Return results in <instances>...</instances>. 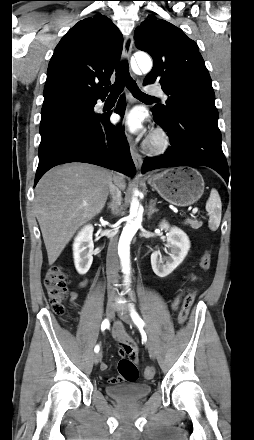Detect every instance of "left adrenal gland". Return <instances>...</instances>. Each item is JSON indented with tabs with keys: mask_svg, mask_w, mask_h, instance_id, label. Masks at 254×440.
<instances>
[{
	"mask_svg": "<svg viewBox=\"0 0 254 440\" xmlns=\"http://www.w3.org/2000/svg\"><path fill=\"white\" fill-rule=\"evenodd\" d=\"M156 200H157V199L152 200L151 203H150V205H149L148 214H147L148 219H150L151 216H152L155 212L158 211V209L155 207V205H156Z\"/></svg>",
	"mask_w": 254,
	"mask_h": 440,
	"instance_id": "left-adrenal-gland-1",
	"label": "left adrenal gland"
}]
</instances>
